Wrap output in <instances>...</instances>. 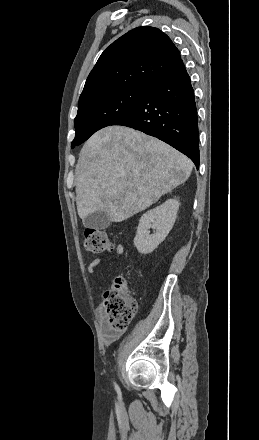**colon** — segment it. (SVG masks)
<instances>
[{
	"mask_svg": "<svg viewBox=\"0 0 259 440\" xmlns=\"http://www.w3.org/2000/svg\"><path fill=\"white\" fill-rule=\"evenodd\" d=\"M84 246L91 253L113 250L108 234L97 229L85 230ZM102 305L108 323L118 330L125 329L137 311L136 301L130 296L128 285L122 277L115 278L112 287L104 293Z\"/></svg>",
	"mask_w": 259,
	"mask_h": 440,
	"instance_id": "colon-1",
	"label": "colon"
}]
</instances>
